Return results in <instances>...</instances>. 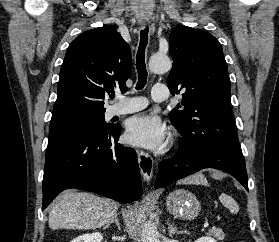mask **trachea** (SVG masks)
<instances>
[{
	"instance_id": "trachea-1",
	"label": "trachea",
	"mask_w": 279,
	"mask_h": 242,
	"mask_svg": "<svg viewBox=\"0 0 279 242\" xmlns=\"http://www.w3.org/2000/svg\"><path fill=\"white\" fill-rule=\"evenodd\" d=\"M148 43V27L141 31L140 43L136 55V69L138 73V82L136 89H142L147 82V70L145 64V50Z\"/></svg>"
}]
</instances>
